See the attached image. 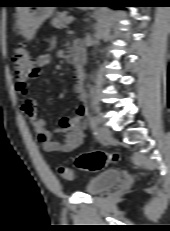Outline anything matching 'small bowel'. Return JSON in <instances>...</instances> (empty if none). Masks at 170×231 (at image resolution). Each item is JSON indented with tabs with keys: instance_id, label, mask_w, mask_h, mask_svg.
Here are the masks:
<instances>
[{
	"instance_id": "obj_1",
	"label": "small bowel",
	"mask_w": 170,
	"mask_h": 231,
	"mask_svg": "<svg viewBox=\"0 0 170 231\" xmlns=\"http://www.w3.org/2000/svg\"><path fill=\"white\" fill-rule=\"evenodd\" d=\"M50 55H40L37 60V75L49 65ZM76 84L74 91L78 96V107L74 117H64L60 120L58 127L49 129L45 119L40 118L37 114V101L31 96L29 85L25 83H17L16 90L23 97L22 111L30 120L32 128L37 136L38 141L44 152L52 153H70L77 149L84 140L81 120L86 114L85 100L86 93L84 89V73L76 70ZM55 135H63V140L55 139Z\"/></svg>"
}]
</instances>
